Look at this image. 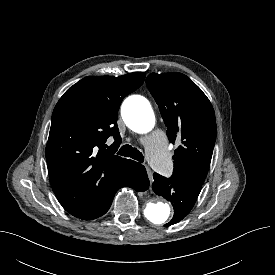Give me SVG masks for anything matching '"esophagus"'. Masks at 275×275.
<instances>
[{
    "mask_svg": "<svg viewBox=\"0 0 275 275\" xmlns=\"http://www.w3.org/2000/svg\"><path fill=\"white\" fill-rule=\"evenodd\" d=\"M146 171H147V174H148V177H149L150 181H152V171L148 166H146Z\"/></svg>",
    "mask_w": 275,
    "mask_h": 275,
    "instance_id": "obj_1",
    "label": "esophagus"
}]
</instances>
